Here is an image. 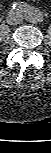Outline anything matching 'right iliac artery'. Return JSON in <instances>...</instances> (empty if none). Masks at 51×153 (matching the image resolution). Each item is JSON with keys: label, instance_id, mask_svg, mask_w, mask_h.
<instances>
[{"label": "right iliac artery", "instance_id": "obj_1", "mask_svg": "<svg viewBox=\"0 0 51 153\" xmlns=\"http://www.w3.org/2000/svg\"><path fill=\"white\" fill-rule=\"evenodd\" d=\"M31 8L27 3L24 2H15L12 4V9L17 10L20 12H28V10Z\"/></svg>", "mask_w": 51, "mask_h": 153}]
</instances>
